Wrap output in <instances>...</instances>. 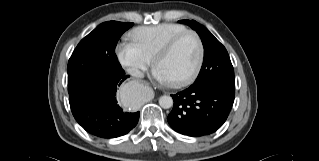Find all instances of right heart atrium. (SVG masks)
I'll return each instance as SVG.
<instances>
[{
    "label": "right heart atrium",
    "instance_id": "d8ad5b80",
    "mask_svg": "<svg viewBox=\"0 0 319 161\" xmlns=\"http://www.w3.org/2000/svg\"><path fill=\"white\" fill-rule=\"evenodd\" d=\"M117 56L120 63L135 74L146 70L151 64V61L132 42L118 45Z\"/></svg>",
    "mask_w": 319,
    "mask_h": 161
}]
</instances>
